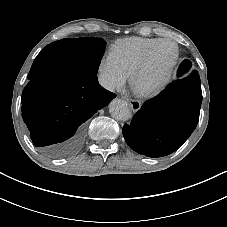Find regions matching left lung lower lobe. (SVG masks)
I'll use <instances>...</instances> for the list:
<instances>
[{
    "mask_svg": "<svg viewBox=\"0 0 227 227\" xmlns=\"http://www.w3.org/2000/svg\"><path fill=\"white\" fill-rule=\"evenodd\" d=\"M184 61L179 73L189 70ZM202 102L197 71L170 83L164 91L146 101L123 127L127 144L148 157H163L177 150L192 134L199 120Z\"/></svg>",
    "mask_w": 227,
    "mask_h": 227,
    "instance_id": "left-lung-lower-lobe-1",
    "label": "left lung lower lobe"
}]
</instances>
